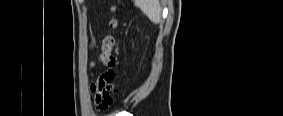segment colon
I'll return each mask as SVG.
<instances>
[{
  "instance_id": "5ec220e1",
  "label": "colon",
  "mask_w": 283,
  "mask_h": 116,
  "mask_svg": "<svg viewBox=\"0 0 283 116\" xmlns=\"http://www.w3.org/2000/svg\"><path fill=\"white\" fill-rule=\"evenodd\" d=\"M110 26H116V20L112 18L110 20ZM115 46V38L112 35H107L102 40V54H101V62L110 68L109 71L104 73L101 76V84L105 82L112 84L116 74L112 68L116 65L115 57L113 56L112 52ZM112 102V98L109 97L108 99H103L102 101L98 102L97 109L98 110H106Z\"/></svg>"
}]
</instances>
